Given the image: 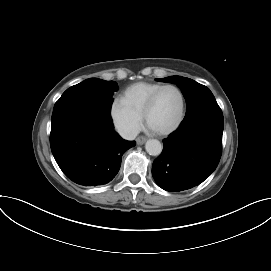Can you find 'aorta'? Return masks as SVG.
Listing matches in <instances>:
<instances>
[{
    "label": "aorta",
    "instance_id": "1",
    "mask_svg": "<svg viewBox=\"0 0 271 271\" xmlns=\"http://www.w3.org/2000/svg\"><path fill=\"white\" fill-rule=\"evenodd\" d=\"M145 149L149 155L158 156L162 152V144L156 139H149L145 144Z\"/></svg>",
    "mask_w": 271,
    "mask_h": 271
}]
</instances>
